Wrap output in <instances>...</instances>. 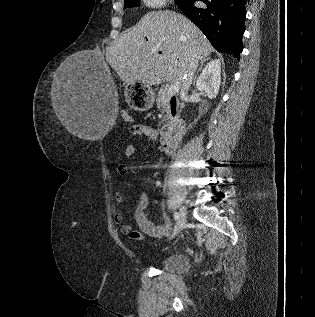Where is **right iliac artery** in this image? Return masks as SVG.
<instances>
[{
	"instance_id": "right-iliac-artery-1",
	"label": "right iliac artery",
	"mask_w": 315,
	"mask_h": 317,
	"mask_svg": "<svg viewBox=\"0 0 315 317\" xmlns=\"http://www.w3.org/2000/svg\"><path fill=\"white\" fill-rule=\"evenodd\" d=\"M174 219L177 221L179 219V214L177 212L174 213Z\"/></svg>"
}]
</instances>
